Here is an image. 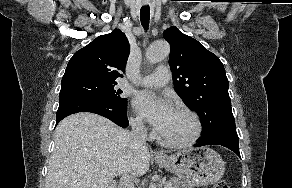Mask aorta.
Wrapping results in <instances>:
<instances>
[{
    "mask_svg": "<svg viewBox=\"0 0 292 188\" xmlns=\"http://www.w3.org/2000/svg\"><path fill=\"white\" fill-rule=\"evenodd\" d=\"M170 53V45L164 40L153 42L146 53L147 60L150 63H158L165 59ZM151 188V187H150Z\"/></svg>",
    "mask_w": 292,
    "mask_h": 188,
    "instance_id": "aorta-1",
    "label": "aorta"
}]
</instances>
